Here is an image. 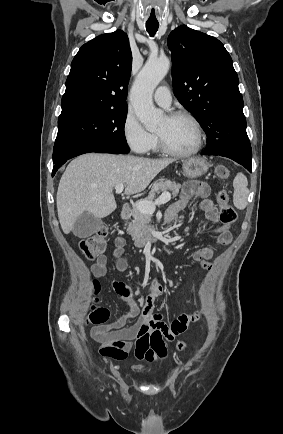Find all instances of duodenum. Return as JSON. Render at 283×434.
Wrapping results in <instances>:
<instances>
[{"mask_svg": "<svg viewBox=\"0 0 283 434\" xmlns=\"http://www.w3.org/2000/svg\"><path fill=\"white\" fill-rule=\"evenodd\" d=\"M130 211H131V205L129 203L125 204L121 209V213H120L121 218L126 219L129 216ZM153 242H156V240L154 239Z\"/></svg>", "mask_w": 283, "mask_h": 434, "instance_id": "obj_1", "label": "duodenum"}]
</instances>
